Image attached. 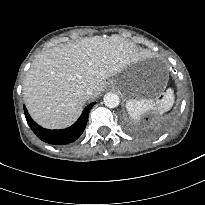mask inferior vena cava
Here are the masks:
<instances>
[{
    "label": "inferior vena cava",
    "mask_w": 205,
    "mask_h": 205,
    "mask_svg": "<svg viewBox=\"0 0 205 205\" xmlns=\"http://www.w3.org/2000/svg\"><path fill=\"white\" fill-rule=\"evenodd\" d=\"M86 93H87L88 95H92V89H91L90 87H88V88L86 89Z\"/></svg>",
    "instance_id": "1"
}]
</instances>
